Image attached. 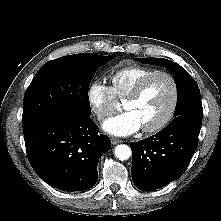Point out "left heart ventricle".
<instances>
[{
  "label": "left heart ventricle",
  "mask_w": 221,
  "mask_h": 221,
  "mask_svg": "<svg viewBox=\"0 0 221 221\" xmlns=\"http://www.w3.org/2000/svg\"><path fill=\"white\" fill-rule=\"evenodd\" d=\"M171 101L172 86L170 81L165 77H156L147 84L138 99L125 101L123 108L136 115L141 127H147L164 117Z\"/></svg>",
  "instance_id": "b2bd125f"
}]
</instances>
